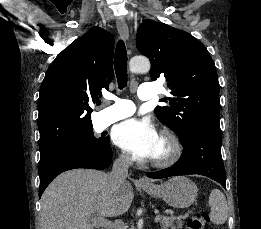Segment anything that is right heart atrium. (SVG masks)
Masks as SVG:
<instances>
[{
    "label": "right heart atrium",
    "mask_w": 261,
    "mask_h": 229,
    "mask_svg": "<svg viewBox=\"0 0 261 229\" xmlns=\"http://www.w3.org/2000/svg\"><path fill=\"white\" fill-rule=\"evenodd\" d=\"M119 161L126 166H129L133 163V157L127 150H122L119 155Z\"/></svg>",
    "instance_id": "obj_1"
}]
</instances>
